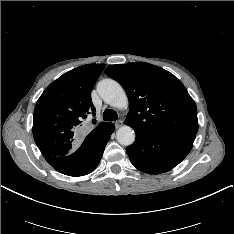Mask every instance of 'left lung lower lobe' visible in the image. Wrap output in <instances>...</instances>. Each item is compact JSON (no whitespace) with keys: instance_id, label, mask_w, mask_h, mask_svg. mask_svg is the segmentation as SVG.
I'll use <instances>...</instances> for the list:
<instances>
[{"instance_id":"left-lung-lower-lobe-1","label":"left lung lower lobe","mask_w":234,"mask_h":234,"mask_svg":"<svg viewBox=\"0 0 234 234\" xmlns=\"http://www.w3.org/2000/svg\"><path fill=\"white\" fill-rule=\"evenodd\" d=\"M136 132V141L126 148L131 163L148 174L171 170L190 152L195 134Z\"/></svg>"}]
</instances>
